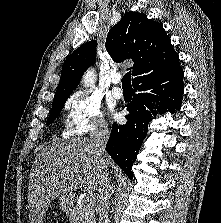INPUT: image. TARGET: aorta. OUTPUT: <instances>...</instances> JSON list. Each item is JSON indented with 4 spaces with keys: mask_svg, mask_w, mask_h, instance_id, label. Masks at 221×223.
I'll use <instances>...</instances> for the list:
<instances>
[{
    "mask_svg": "<svg viewBox=\"0 0 221 223\" xmlns=\"http://www.w3.org/2000/svg\"><path fill=\"white\" fill-rule=\"evenodd\" d=\"M95 81H96V74H95L94 69L87 70L82 79L83 86L89 87L95 84Z\"/></svg>",
    "mask_w": 221,
    "mask_h": 223,
    "instance_id": "obj_1",
    "label": "aorta"
}]
</instances>
